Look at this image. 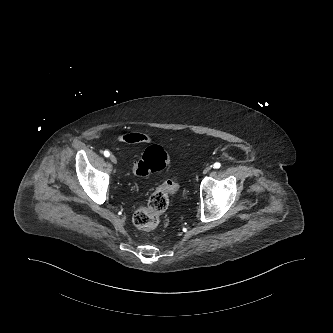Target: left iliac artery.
Segmentation results:
<instances>
[{
	"label": "left iliac artery",
	"mask_w": 333,
	"mask_h": 333,
	"mask_svg": "<svg viewBox=\"0 0 333 333\" xmlns=\"http://www.w3.org/2000/svg\"><path fill=\"white\" fill-rule=\"evenodd\" d=\"M221 164L219 162L214 163L213 168L218 169L220 168Z\"/></svg>",
	"instance_id": "1"
}]
</instances>
